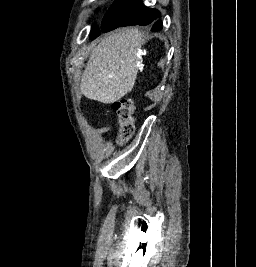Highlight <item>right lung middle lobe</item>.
Instances as JSON below:
<instances>
[{
    "label": "right lung middle lobe",
    "mask_w": 256,
    "mask_h": 267,
    "mask_svg": "<svg viewBox=\"0 0 256 267\" xmlns=\"http://www.w3.org/2000/svg\"><path fill=\"white\" fill-rule=\"evenodd\" d=\"M140 4L141 0H116L103 17L101 31L105 33L115 29V25ZM99 34V27L94 26L91 31L90 39L96 38Z\"/></svg>",
    "instance_id": "dd1d6c3e"
}]
</instances>
